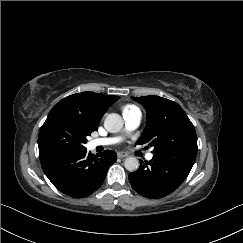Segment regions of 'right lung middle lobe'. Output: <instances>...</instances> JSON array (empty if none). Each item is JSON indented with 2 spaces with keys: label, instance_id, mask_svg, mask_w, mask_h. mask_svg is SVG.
Wrapping results in <instances>:
<instances>
[{
  "label": "right lung middle lobe",
  "instance_id": "1",
  "mask_svg": "<svg viewBox=\"0 0 243 243\" xmlns=\"http://www.w3.org/2000/svg\"><path fill=\"white\" fill-rule=\"evenodd\" d=\"M93 131L80 118L65 109L53 107L39 132V157L82 151L86 149V137Z\"/></svg>",
  "mask_w": 243,
  "mask_h": 243
}]
</instances>
